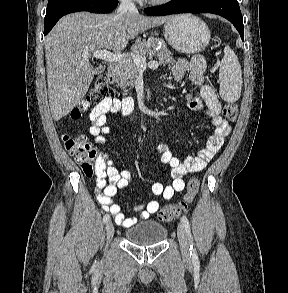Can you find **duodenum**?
<instances>
[{
	"mask_svg": "<svg viewBox=\"0 0 288 293\" xmlns=\"http://www.w3.org/2000/svg\"><path fill=\"white\" fill-rule=\"evenodd\" d=\"M119 72V65L116 63H113L111 65H109L108 67V72H107V76H108V80L110 82H113L115 80L116 75Z\"/></svg>",
	"mask_w": 288,
	"mask_h": 293,
	"instance_id": "duodenum-1",
	"label": "duodenum"
}]
</instances>
